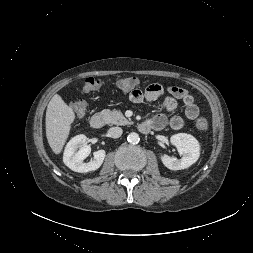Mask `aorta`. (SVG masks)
<instances>
[{
  "label": "aorta",
  "instance_id": "obj_1",
  "mask_svg": "<svg viewBox=\"0 0 253 253\" xmlns=\"http://www.w3.org/2000/svg\"><path fill=\"white\" fill-rule=\"evenodd\" d=\"M127 141L131 144H137L140 141V137L137 133L135 132H131L128 136H127Z\"/></svg>",
  "mask_w": 253,
  "mask_h": 253
}]
</instances>
